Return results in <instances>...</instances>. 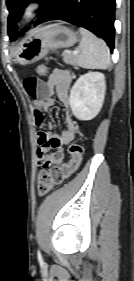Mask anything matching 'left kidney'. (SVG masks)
<instances>
[{"label":"left kidney","mask_w":134,"mask_h":281,"mask_svg":"<svg viewBox=\"0 0 134 281\" xmlns=\"http://www.w3.org/2000/svg\"><path fill=\"white\" fill-rule=\"evenodd\" d=\"M105 76L101 72L81 75L70 91L69 104L79 120H92L100 112L105 97Z\"/></svg>","instance_id":"left-kidney-1"}]
</instances>
